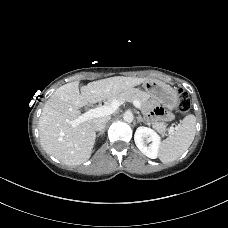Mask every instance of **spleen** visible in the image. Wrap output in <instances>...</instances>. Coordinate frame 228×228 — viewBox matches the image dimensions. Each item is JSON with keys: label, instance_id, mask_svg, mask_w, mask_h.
Masks as SVG:
<instances>
[{"label": "spleen", "instance_id": "1", "mask_svg": "<svg viewBox=\"0 0 228 228\" xmlns=\"http://www.w3.org/2000/svg\"><path fill=\"white\" fill-rule=\"evenodd\" d=\"M196 134V117L187 115L168 138L163 140L159 150L162 163L177 160L190 147Z\"/></svg>", "mask_w": 228, "mask_h": 228}]
</instances>
